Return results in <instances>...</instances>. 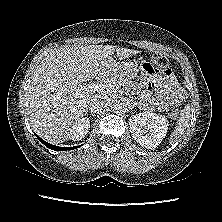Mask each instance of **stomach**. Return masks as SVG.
Segmentation results:
<instances>
[{
    "instance_id": "obj_1",
    "label": "stomach",
    "mask_w": 222,
    "mask_h": 222,
    "mask_svg": "<svg viewBox=\"0 0 222 222\" xmlns=\"http://www.w3.org/2000/svg\"><path fill=\"white\" fill-rule=\"evenodd\" d=\"M139 69L137 64L133 62L121 63L119 74L126 79H134L138 76Z\"/></svg>"
}]
</instances>
